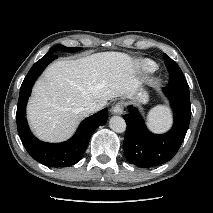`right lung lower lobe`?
<instances>
[{"label": "right lung lower lobe", "instance_id": "right-lung-lower-lobe-1", "mask_svg": "<svg viewBox=\"0 0 213 213\" xmlns=\"http://www.w3.org/2000/svg\"><path fill=\"white\" fill-rule=\"evenodd\" d=\"M56 58L54 54L45 55L32 66L25 77L20 88L17 104V129L24 147L36 161L49 167H67L79 162L88 146L93 131L107 122L108 111L105 108L86 118L81 123L76 134L63 143L41 142L31 133L25 118L26 102L36 78Z\"/></svg>", "mask_w": 213, "mask_h": 213}]
</instances>
